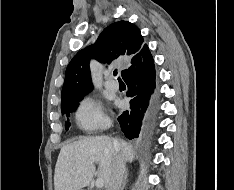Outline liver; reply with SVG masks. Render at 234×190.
I'll use <instances>...</instances> for the list:
<instances>
[{
    "label": "liver",
    "mask_w": 234,
    "mask_h": 190,
    "mask_svg": "<svg viewBox=\"0 0 234 190\" xmlns=\"http://www.w3.org/2000/svg\"><path fill=\"white\" fill-rule=\"evenodd\" d=\"M119 146L125 162H132L134 151L123 140L107 136L85 138L64 145L59 153L54 174L55 190H82L90 185L95 174V163H99V178L105 187L109 181L115 162L116 149Z\"/></svg>",
    "instance_id": "liver-1"
}]
</instances>
